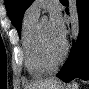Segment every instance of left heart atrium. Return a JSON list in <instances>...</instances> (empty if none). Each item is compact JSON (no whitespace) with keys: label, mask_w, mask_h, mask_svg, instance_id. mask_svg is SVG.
I'll return each mask as SVG.
<instances>
[{"label":"left heart atrium","mask_w":89,"mask_h":89,"mask_svg":"<svg viewBox=\"0 0 89 89\" xmlns=\"http://www.w3.org/2000/svg\"><path fill=\"white\" fill-rule=\"evenodd\" d=\"M50 29L55 38L64 41L66 31L63 20L57 12H52L49 20Z\"/></svg>","instance_id":"obj_1"}]
</instances>
